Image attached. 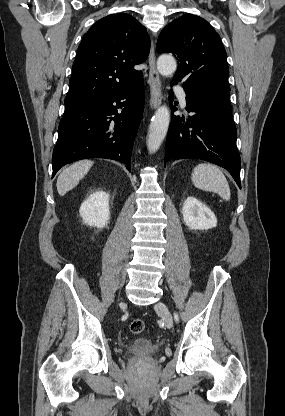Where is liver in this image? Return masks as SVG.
Masks as SVG:
<instances>
[{
	"label": "liver",
	"instance_id": "obj_1",
	"mask_svg": "<svg viewBox=\"0 0 285 416\" xmlns=\"http://www.w3.org/2000/svg\"><path fill=\"white\" fill-rule=\"evenodd\" d=\"M91 166H93V162L82 160V162H76V164H72V166L63 170L58 176L56 184L59 196H65L69 190L78 186L80 180L88 174Z\"/></svg>",
	"mask_w": 285,
	"mask_h": 416
}]
</instances>
